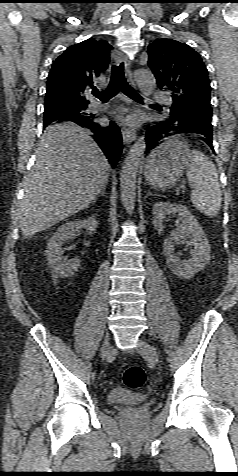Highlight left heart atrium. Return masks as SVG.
<instances>
[{
	"mask_svg": "<svg viewBox=\"0 0 238 476\" xmlns=\"http://www.w3.org/2000/svg\"><path fill=\"white\" fill-rule=\"evenodd\" d=\"M137 122H138V118H136V117H131L129 119V123H131V124H136Z\"/></svg>",
	"mask_w": 238,
	"mask_h": 476,
	"instance_id": "39dd6f15",
	"label": "left heart atrium"
}]
</instances>
